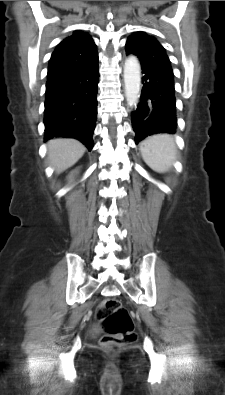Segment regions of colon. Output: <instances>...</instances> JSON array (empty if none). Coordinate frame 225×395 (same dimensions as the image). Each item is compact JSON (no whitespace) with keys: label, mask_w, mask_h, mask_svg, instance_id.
I'll return each instance as SVG.
<instances>
[{"label":"colon","mask_w":225,"mask_h":395,"mask_svg":"<svg viewBox=\"0 0 225 395\" xmlns=\"http://www.w3.org/2000/svg\"><path fill=\"white\" fill-rule=\"evenodd\" d=\"M103 336L100 343L107 351H116L137 340L129 311L116 299H106L97 310Z\"/></svg>","instance_id":"1"}]
</instances>
